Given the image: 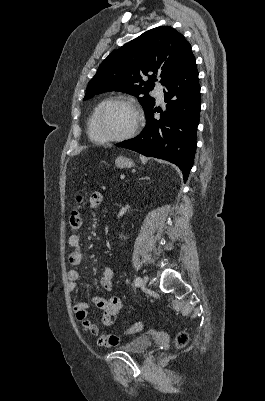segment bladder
Listing matches in <instances>:
<instances>
[{
	"label": "bladder",
	"mask_w": 265,
	"mask_h": 401,
	"mask_svg": "<svg viewBox=\"0 0 265 401\" xmlns=\"http://www.w3.org/2000/svg\"><path fill=\"white\" fill-rule=\"evenodd\" d=\"M153 341L151 338L146 336L135 337L130 343L121 346L122 350H125L131 354L141 355L152 346Z\"/></svg>",
	"instance_id": "31cf9c89"
}]
</instances>
